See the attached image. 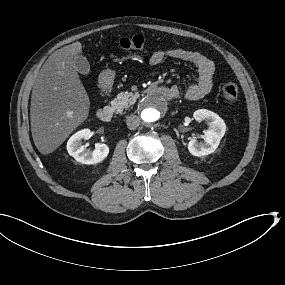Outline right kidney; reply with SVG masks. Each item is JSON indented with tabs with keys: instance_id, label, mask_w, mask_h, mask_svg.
<instances>
[{
	"instance_id": "ca27d5eb",
	"label": "right kidney",
	"mask_w": 285,
	"mask_h": 285,
	"mask_svg": "<svg viewBox=\"0 0 285 285\" xmlns=\"http://www.w3.org/2000/svg\"><path fill=\"white\" fill-rule=\"evenodd\" d=\"M91 134L89 129H84L75 133L67 143V151L77 162L85 165H94L104 161L109 155L110 149L106 144H96L95 148L87 149L82 145L83 139Z\"/></svg>"
}]
</instances>
